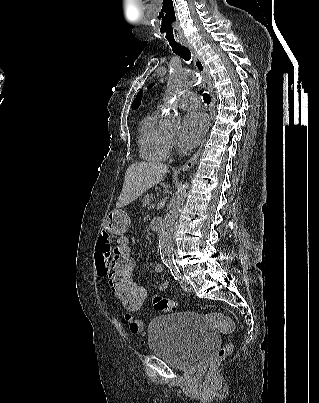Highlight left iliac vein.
<instances>
[{"instance_id":"4c4485c4","label":"left iliac vein","mask_w":319,"mask_h":403,"mask_svg":"<svg viewBox=\"0 0 319 403\" xmlns=\"http://www.w3.org/2000/svg\"><path fill=\"white\" fill-rule=\"evenodd\" d=\"M180 286L181 288L186 291V292H191L192 291V286L189 284V282L185 279L180 280Z\"/></svg>"}]
</instances>
